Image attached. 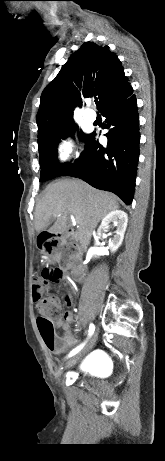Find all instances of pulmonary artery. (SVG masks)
Returning a JSON list of instances; mask_svg holds the SVG:
<instances>
[{"label": "pulmonary artery", "mask_w": 165, "mask_h": 461, "mask_svg": "<svg viewBox=\"0 0 165 461\" xmlns=\"http://www.w3.org/2000/svg\"><path fill=\"white\" fill-rule=\"evenodd\" d=\"M83 117L88 122H94L96 119V114L94 112L85 111Z\"/></svg>", "instance_id": "1"}]
</instances>
